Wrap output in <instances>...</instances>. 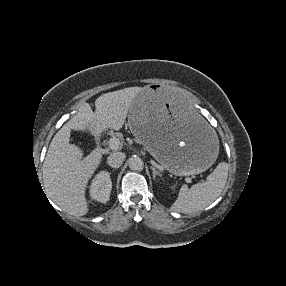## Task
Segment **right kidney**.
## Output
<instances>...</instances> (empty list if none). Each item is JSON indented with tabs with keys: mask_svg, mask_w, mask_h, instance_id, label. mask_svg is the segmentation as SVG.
Returning a JSON list of instances; mask_svg holds the SVG:
<instances>
[{
	"mask_svg": "<svg viewBox=\"0 0 286 286\" xmlns=\"http://www.w3.org/2000/svg\"><path fill=\"white\" fill-rule=\"evenodd\" d=\"M112 189L110 173L107 171L99 172L93 179L90 186V196L92 199L105 203L109 200Z\"/></svg>",
	"mask_w": 286,
	"mask_h": 286,
	"instance_id": "ca27d5eb",
	"label": "right kidney"
}]
</instances>
